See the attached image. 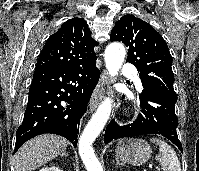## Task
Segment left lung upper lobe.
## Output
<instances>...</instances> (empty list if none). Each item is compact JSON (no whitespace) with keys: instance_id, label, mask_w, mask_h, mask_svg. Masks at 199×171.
Returning <instances> with one entry per match:
<instances>
[{"instance_id":"5c2ea615","label":"left lung upper lobe","mask_w":199,"mask_h":171,"mask_svg":"<svg viewBox=\"0 0 199 171\" xmlns=\"http://www.w3.org/2000/svg\"><path fill=\"white\" fill-rule=\"evenodd\" d=\"M110 40L129 47L127 62L137 67L143 87L177 97L172 57L165 40L151 25L133 15H125L115 24Z\"/></svg>"}]
</instances>
